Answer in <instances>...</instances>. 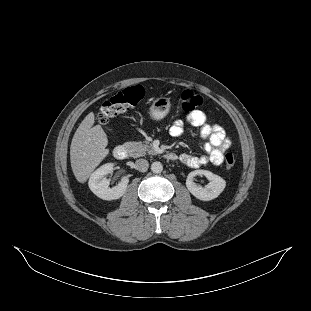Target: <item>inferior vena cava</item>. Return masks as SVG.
<instances>
[{"instance_id":"inferior-vena-cava-1","label":"inferior vena cava","mask_w":311,"mask_h":311,"mask_svg":"<svg viewBox=\"0 0 311 311\" xmlns=\"http://www.w3.org/2000/svg\"><path fill=\"white\" fill-rule=\"evenodd\" d=\"M135 165H136L137 170L140 172H146L149 167V163L145 159L136 160Z\"/></svg>"}]
</instances>
